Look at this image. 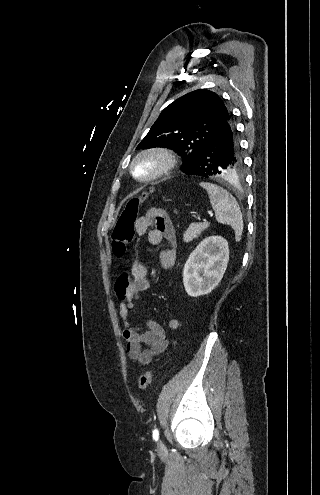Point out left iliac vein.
I'll return each mask as SVG.
<instances>
[{
    "instance_id": "obj_1",
    "label": "left iliac vein",
    "mask_w": 320,
    "mask_h": 495,
    "mask_svg": "<svg viewBox=\"0 0 320 495\" xmlns=\"http://www.w3.org/2000/svg\"><path fill=\"white\" fill-rule=\"evenodd\" d=\"M157 449L159 451H163L165 449V445L163 444V442L161 440L157 444Z\"/></svg>"
}]
</instances>
